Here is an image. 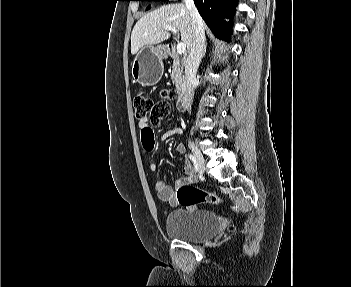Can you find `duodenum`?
<instances>
[{
    "label": "duodenum",
    "instance_id": "obj_1",
    "mask_svg": "<svg viewBox=\"0 0 351 287\" xmlns=\"http://www.w3.org/2000/svg\"><path fill=\"white\" fill-rule=\"evenodd\" d=\"M167 54H172L174 52V47L171 45L170 47L165 49ZM189 108V93L184 91L180 94L177 100V109L179 111H186Z\"/></svg>",
    "mask_w": 351,
    "mask_h": 287
}]
</instances>
